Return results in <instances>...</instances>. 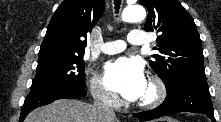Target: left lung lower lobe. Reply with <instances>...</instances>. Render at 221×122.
Returning <instances> with one entry per match:
<instances>
[{
	"label": "left lung lower lobe",
	"mask_w": 221,
	"mask_h": 122,
	"mask_svg": "<svg viewBox=\"0 0 221 122\" xmlns=\"http://www.w3.org/2000/svg\"><path fill=\"white\" fill-rule=\"evenodd\" d=\"M200 113L215 121L206 79H185L167 90L163 104L149 111L133 114L142 121H149L179 112Z\"/></svg>",
	"instance_id": "obj_1"
}]
</instances>
